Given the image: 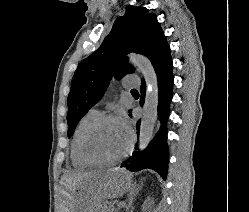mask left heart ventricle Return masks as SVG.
<instances>
[{"label": "left heart ventricle", "instance_id": "left-heart-ventricle-1", "mask_svg": "<svg viewBox=\"0 0 249 212\" xmlns=\"http://www.w3.org/2000/svg\"><path fill=\"white\" fill-rule=\"evenodd\" d=\"M129 143L126 127L117 122H105L96 128L88 141V151L98 160H111L121 155Z\"/></svg>", "mask_w": 249, "mask_h": 212}]
</instances>
